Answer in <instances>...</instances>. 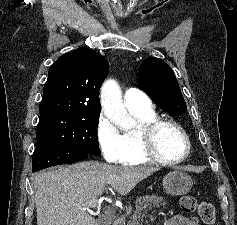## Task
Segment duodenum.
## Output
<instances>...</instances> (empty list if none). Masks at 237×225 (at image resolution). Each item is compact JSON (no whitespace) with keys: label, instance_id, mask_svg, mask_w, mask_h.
Returning a JSON list of instances; mask_svg holds the SVG:
<instances>
[{"label":"duodenum","instance_id":"1","mask_svg":"<svg viewBox=\"0 0 237 225\" xmlns=\"http://www.w3.org/2000/svg\"><path fill=\"white\" fill-rule=\"evenodd\" d=\"M112 225H121V221L119 219H116L112 222Z\"/></svg>","mask_w":237,"mask_h":225}]
</instances>
